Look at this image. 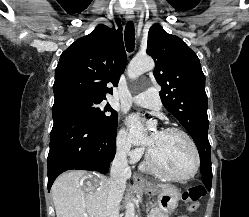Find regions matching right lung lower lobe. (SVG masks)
<instances>
[{
	"mask_svg": "<svg viewBox=\"0 0 249 217\" xmlns=\"http://www.w3.org/2000/svg\"><path fill=\"white\" fill-rule=\"evenodd\" d=\"M50 136L48 190L62 172L72 169L107 173L116 152V130L93 127L74 110L53 106Z\"/></svg>",
	"mask_w": 249,
	"mask_h": 217,
	"instance_id": "obj_1",
	"label": "right lung lower lobe"
}]
</instances>
